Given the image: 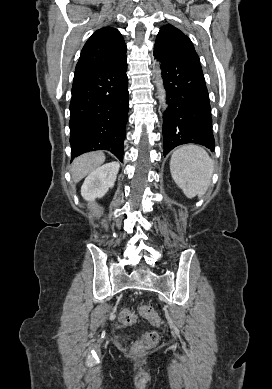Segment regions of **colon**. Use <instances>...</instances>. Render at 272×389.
Returning <instances> with one entry per match:
<instances>
[{
  "instance_id": "1",
  "label": "colon",
  "mask_w": 272,
  "mask_h": 389,
  "mask_svg": "<svg viewBox=\"0 0 272 389\" xmlns=\"http://www.w3.org/2000/svg\"><path fill=\"white\" fill-rule=\"evenodd\" d=\"M140 314L154 325H158L160 323L159 316L153 308L148 305L140 307ZM119 321L124 326H132L138 321V317L135 312L129 309H122L119 313ZM158 339L159 336L156 331H147L142 335L141 340L133 346L132 350L134 353L144 352L154 347L157 344Z\"/></svg>"
}]
</instances>
